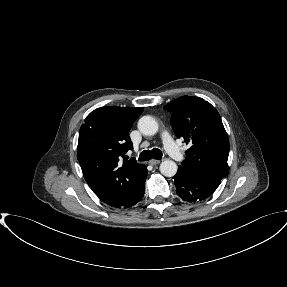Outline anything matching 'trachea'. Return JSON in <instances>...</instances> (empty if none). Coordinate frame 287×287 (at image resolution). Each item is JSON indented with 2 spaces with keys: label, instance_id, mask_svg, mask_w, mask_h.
<instances>
[{
  "label": "trachea",
  "instance_id": "3493384b",
  "mask_svg": "<svg viewBox=\"0 0 287 287\" xmlns=\"http://www.w3.org/2000/svg\"><path fill=\"white\" fill-rule=\"evenodd\" d=\"M161 159L162 158V152L161 150L154 148L152 150H144L141 152L139 156V161H148L151 159Z\"/></svg>",
  "mask_w": 287,
  "mask_h": 287
}]
</instances>
